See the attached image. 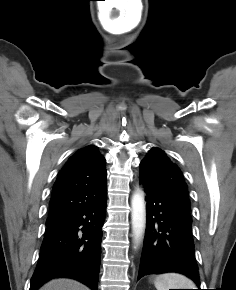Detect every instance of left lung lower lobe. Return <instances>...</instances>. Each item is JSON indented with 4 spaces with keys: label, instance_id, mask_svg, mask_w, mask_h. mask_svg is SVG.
I'll return each instance as SVG.
<instances>
[{
    "label": "left lung lower lobe",
    "instance_id": "0a47b994",
    "mask_svg": "<svg viewBox=\"0 0 236 290\" xmlns=\"http://www.w3.org/2000/svg\"><path fill=\"white\" fill-rule=\"evenodd\" d=\"M143 185L147 193V227L138 279L178 272L200 285L190 206L168 190Z\"/></svg>",
    "mask_w": 236,
    "mask_h": 290
}]
</instances>
